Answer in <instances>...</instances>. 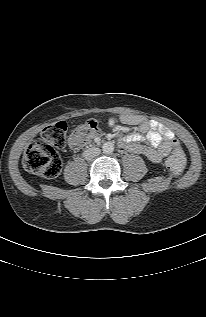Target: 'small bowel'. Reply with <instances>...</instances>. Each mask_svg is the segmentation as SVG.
<instances>
[{"label":"small bowel","instance_id":"small-bowel-1","mask_svg":"<svg viewBox=\"0 0 206 317\" xmlns=\"http://www.w3.org/2000/svg\"><path fill=\"white\" fill-rule=\"evenodd\" d=\"M118 121L126 126L135 125L138 127V132H131L127 127L118 125L116 119L110 120V125L116 131L124 133L120 141L121 146L130 152L144 155L152 162H161L169 155L173 147L179 148V142L169 128L145 116L125 113L120 115ZM145 140L151 146L140 144ZM84 143L85 141H78L74 135L70 138V146L73 149L81 148Z\"/></svg>","mask_w":206,"mask_h":317}]
</instances>
